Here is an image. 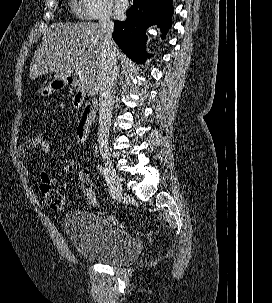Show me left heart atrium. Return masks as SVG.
Returning <instances> with one entry per match:
<instances>
[{"label": "left heart atrium", "mask_w": 272, "mask_h": 303, "mask_svg": "<svg viewBox=\"0 0 272 303\" xmlns=\"http://www.w3.org/2000/svg\"><path fill=\"white\" fill-rule=\"evenodd\" d=\"M127 9L126 0H116L114 3V10L117 15H122Z\"/></svg>", "instance_id": "39dd6f15"}]
</instances>
